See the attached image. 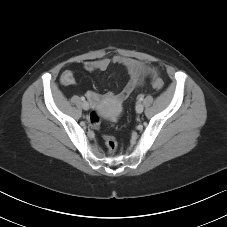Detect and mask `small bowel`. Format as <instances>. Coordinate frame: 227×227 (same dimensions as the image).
Instances as JSON below:
<instances>
[{
    "instance_id": "obj_1",
    "label": "small bowel",
    "mask_w": 227,
    "mask_h": 227,
    "mask_svg": "<svg viewBox=\"0 0 227 227\" xmlns=\"http://www.w3.org/2000/svg\"><path fill=\"white\" fill-rule=\"evenodd\" d=\"M122 65L129 76V79L124 88L117 94L108 92L100 94L94 91L86 93L87 98L93 104H99L102 101H114L118 103L124 102L139 87L144 79L148 76H155L156 70L151 68L144 62L136 59L116 55L112 58H101L97 60H88L83 62L84 70L88 72L106 71L111 65ZM60 83L64 86L73 85L75 83V76L71 70H65L60 75Z\"/></svg>"
}]
</instances>
